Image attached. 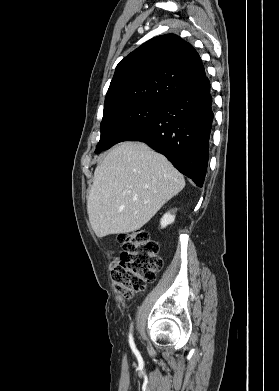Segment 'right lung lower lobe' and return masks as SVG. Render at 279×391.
Returning <instances> with one entry per match:
<instances>
[{
  "label": "right lung lower lobe",
  "mask_w": 279,
  "mask_h": 391,
  "mask_svg": "<svg viewBox=\"0 0 279 391\" xmlns=\"http://www.w3.org/2000/svg\"><path fill=\"white\" fill-rule=\"evenodd\" d=\"M213 117L210 82L205 77L166 101L151 122L132 132L124 141L146 143L202 187Z\"/></svg>",
  "instance_id": "1"
}]
</instances>
